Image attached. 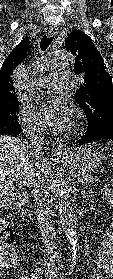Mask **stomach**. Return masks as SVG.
Here are the masks:
<instances>
[{
    "instance_id": "1",
    "label": "stomach",
    "mask_w": 113,
    "mask_h": 279,
    "mask_svg": "<svg viewBox=\"0 0 113 279\" xmlns=\"http://www.w3.org/2000/svg\"><path fill=\"white\" fill-rule=\"evenodd\" d=\"M63 164L79 171H91L100 167L103 156L95 144H85L66 156H60Z\"/></svg>"
}]
</instances>
